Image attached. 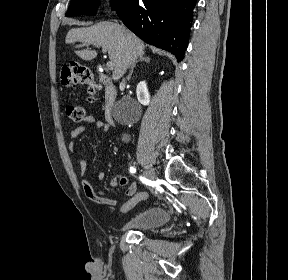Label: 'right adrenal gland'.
<instances>
[{
    "label": "right adrenal gland",
    "mask_w": 288,
    "mask_h": 280,
    "mask_svg": "<svg viewBox=\"0 0 288 280\" xmlns=\"http://www.w3.org/2000/svg\"><path fill=\"white\" fill-rule=\"evenodd\" d=\"M138 62H146V63H149V62H150V58H149V57H145L144 55L139 56V57H138V60H136V61L132 64V66H131V68H130L129 75H128V77H127L128 80L131 78L132 73H133V70H134V68L136 67V64H137Z\"/></svg>",
    "instance_id": "1"
}]
</instances>
